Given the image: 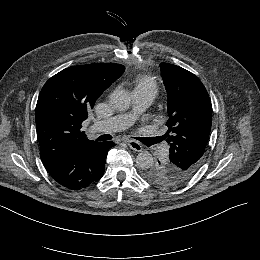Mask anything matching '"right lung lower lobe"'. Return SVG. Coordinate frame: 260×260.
<instances>
[{
  "instance_id": "98d812e1",
  "label": "right lung lower lobe",
  "mask_w": 260,
  "mask_h": 260,
  "mask_svg": "<svg viewBox=\"0 0 260 260\" xmlns=\"http://www.w3.org/2000/svg\"><path fill=\"white\" fill-rule=\"evenodd\" d=\"M114 145L112 141L89 144L48 173L65 188H86L103 176L107 152Z\"/></svg>"
}]
</instances>
